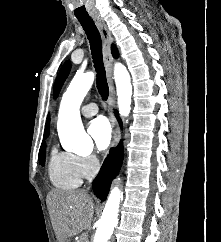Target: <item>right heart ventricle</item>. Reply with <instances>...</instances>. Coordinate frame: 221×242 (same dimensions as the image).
I'll return each mask as SVG.
<instances>
[{
	"instance_id": "1",
	"label": "right heart ventricle",
	"mask_w": 221,
	"mask_h": 242,
	"mask_svg": "<svg viewBox=\"0 0 221 242\" xmlns=\"http://www.w3.org/2000/svg\"><path fill=\"white\" fill-rule=\"evenodd\" d=\"M76 155L69 152H59L53 148L48 162V176L51 183L59 189H72L80 185Z\"/></svg>"
}]
</instances>
